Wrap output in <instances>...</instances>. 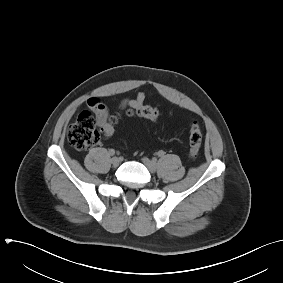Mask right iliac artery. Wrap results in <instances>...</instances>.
<instances>
[{
  "label": "right iliac artery",
  "instance_id": "1",
  "mask_svg": "<svg viewBox=\"0 0 283 283\" xmlns=\"http://www.w3.org/2000/svg\"><path fill=\"white\" fill-rule=\"evenodd\" d=\"M109 154H110L111 156L115 155V150H114V149H110V150H109Z\"/></svg>",
  "mask_w": 283,
  "mask_h": 283
}]
</instances>
